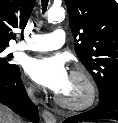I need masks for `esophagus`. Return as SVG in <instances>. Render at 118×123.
<instances>
[{
	"label": "esophagus",
	"mask_w": 118,
	"mask_h": 123,
	"mask_svg": "<svg viewBox=\"0 0 118 123\" xmlns=\"http://www.w3.org/2000/svg\"><path fill=\"white\" fill-rule=\"evenodd\" d=\"M42 116L46 123H56V117L50 111L44 110Z\"/></svg>",
	"instance_id": "1"
}]
</instances>
